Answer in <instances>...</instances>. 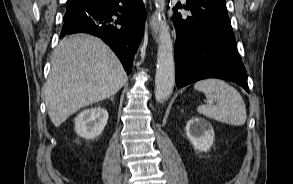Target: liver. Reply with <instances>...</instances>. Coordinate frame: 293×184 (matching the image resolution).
I'll use <instances>...</instances> for the list:
<instances>
[{
    "mask_svg": "<svg viewBox=\"0 0 293 184\" xmlns=\"http://www.w3.org/2000/svg\"><path fill=\"white\" fill-rule=\"evenodd\" d=\"M117 56L99 38L69 35L53 52L45 103L55 127L88 105L115 95L127 82Z\"/></svg>",
    "mask_w": 293,
    "mask_h": 184,
    "instance_id": "liver-1",
    "label": "liver"
}]
</instances>
